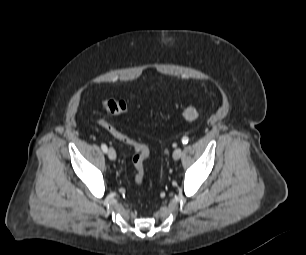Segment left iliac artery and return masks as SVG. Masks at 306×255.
I'll list each match as a JSON object with an SVG mask.
<instances>
[{
  "instance_id": "44dca946",
  "label": "left iliac artery",
  "mask_w": 306,
  "mask_h": 255,
  "mask_svg": "<svg viewBox=\"0 0 306 255\" xmlns=\"http://www.w3.org/2000/svg\"><path fill=\"white\" fill-rule=\"evenodd\" d=\"M188 141H189V138H188V137L185 136V137L182 138V143H183V144H187Z\"/></svg>"
}]
</instances>
